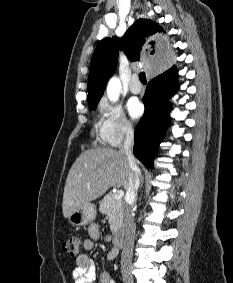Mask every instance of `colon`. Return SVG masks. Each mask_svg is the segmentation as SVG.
Instances as JSON below:
<instances>
[{
	"label": "colon",
	"instance_id": "colon-1",
	"mask_svg": "<svg viewBox=\"0 0 233 283\" xmlns=\"http://www.w3.org/2000/svg\"><path fill=\"white\" fill-rule=\"evenodd\" d=\"M82 240L78 235L71 236L62 243V249L72 256H78L81 252Z\"/></svg>",
	"mask_w": 233,
	"mask_h": 283
}]
</instances>
